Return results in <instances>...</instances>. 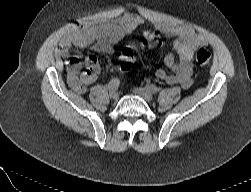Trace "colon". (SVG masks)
Listing matches in <instances>:
<instances>
[{
    "mask_svg": "<svg viewBox=\"0 0 251 192\" xmlns=\"http://www.w3.org/2000/svg\"><path fill=\"white\" fill-rule=\"evenodd\" d=\"M162 44L161 37L157 33H148L142 38V45L148 49H155ZM211 58L210 52L205 49H199L195 54V61L199 66H205ZM120 67L122 70H129L133 67L135 56L131 49H124L120 56Z\"/></svg>",
    "mask_w": 251,
    "mask_h": 192,
    "instance_id": "obj_1",
    "label": "colon"
}]
</instances>
